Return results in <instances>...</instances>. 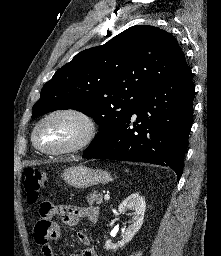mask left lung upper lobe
Masks as SVG:
<instances>
[{"instance_id": "left-lung-upper-lobe-1", "label": "left lung upper lobe", "mask_w": 221, "mask_h": 256, "mask_svg": "<svg viewBox=\"0 0 221 256\" xmlns=\"http://www.w3.org/2000/svg\"><path fill=\"white\" fill-rule=\"evenodd\" d=\"M185 64L170 33L154 26L130 27L60 68L42 88L32 118L59 109L83 112L99 125L92 144L123 123L151 89Z\"/></svg>"}]
</instances>
